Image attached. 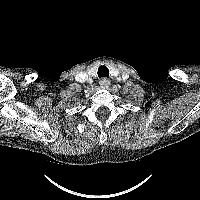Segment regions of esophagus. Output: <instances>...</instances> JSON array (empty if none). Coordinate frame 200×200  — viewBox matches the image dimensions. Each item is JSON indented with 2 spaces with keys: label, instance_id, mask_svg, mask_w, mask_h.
Listing matches in <instances>:
<instances>
[{
  "label": "esophagus",
  "instance_id": "34e87169",
  "mask_svg": "<svg viewBox=\"0 0 200 200\" xmlns=\"http://www.w3.org/2000/svg\"><path fill=\"white\" fill-rule=\"evenodd\" d=\"M99 84L102 88H107L109 87L110 85V81L107 79V78H102L100 81H99Z\"/></svg>",
  "mask_w": 200,
  "mask_h": 200
}]
</instances>
